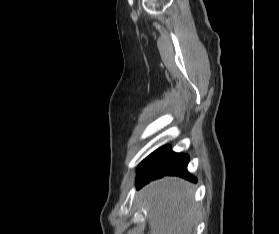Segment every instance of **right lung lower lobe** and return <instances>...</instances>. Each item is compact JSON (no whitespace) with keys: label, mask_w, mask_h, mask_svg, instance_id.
<instances>
[{"label":"right lung lower lobe","mask_w":279,"mask_h":234,"mask_svg":"<svg viewBox=\"0 0 279 234\" xmlns=\"http://www.w3.org/2000/svg\"><path fill=\"white\" fill-rule=\"evenodd\" d=\"M188 161L187 155L174 153L169 146L159 148L139 165L137 188L165 175L181 176L196 182V179L187 172Z\"/></svg>","instance_id":"98d812e1"}]
</instances>
